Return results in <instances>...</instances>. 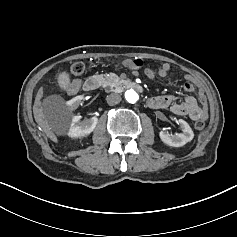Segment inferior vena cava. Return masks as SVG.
<instances>
[{"mask_svg": "<svg viewBox=\"0 0 237 237\" xmlns=\"http://www.w3.org/2000/svg\"><path fill=\"white\" fill-rule=\"evenodd\" d=\"M106 101L109 105L113 106L121 102V96L113 93L106 97Z\"/></svg>", "mask_w": 237, "mask_h": 237, "instance_id": "inferior-vena-cava-1", "label": "inferior vena cava"}]
</instances>
